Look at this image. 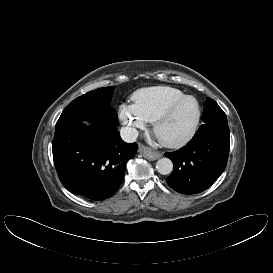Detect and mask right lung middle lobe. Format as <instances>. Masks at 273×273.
Returning a JSON list of instances; mask_svg holds the SVG:
<instances>
[{
  "mask_svg": "<svg viewBox=\"0 0 273 273\" xmlns=\"http://www.w3.org/2000/svg\"><path fill=\"white\" fill-rule=\"evenodd\" d=\"M113 90L114 86L99 88L73 100L63 110L56 128L83 120L100 125L118 126L117 113L110 107Z\"/></svg>",
  "mask_w": 273,
  "mask_h": 273,
  "instance_id": "obj_1",
  "label": "right lung middle lobe"
}]
</instances>
